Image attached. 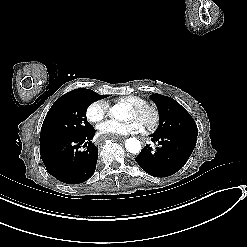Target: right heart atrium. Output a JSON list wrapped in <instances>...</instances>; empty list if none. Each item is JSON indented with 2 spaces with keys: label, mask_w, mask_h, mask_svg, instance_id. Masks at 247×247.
<instances>
[{
  "label": "right heart atrium",
  "mask_w": 247,
  "mask_h": 247,
  "mask_svg": "<svg viewBox=\"0 0 247 247\" xmlns=\"http://www.w3.org/2000/svg\"><path fill=\"white\" fill-rule=\"evenodd\" d=\"M109 108L105 101L95 100L86 108V115L89 121L98 123L108 114Z\"/></svg>",
  "instance_id": "1"
}]
</instances>
